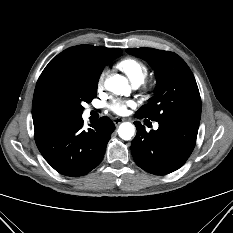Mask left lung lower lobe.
Returning a JSON list of instances; mask_svg holds the SVG:
<instances>
[{
	"instance_id": "1",
	"label": "left lung lower lobe",
	"mask_w": 233,
	"mask_h": 233,
	"mask_svg": "<svg viewBox=\"0 0 233 233\" xmlns=\"http://www.w3.org/2000/svg\"><path fill=\"white\" fill-rule=\"evenodd\" d=\"M199 122L189 119L163 120L158 122L156 131L149 133L140 122H135L137 134L131 142L135 163L155 175H165L179 169L195 147Z\"/></svg>"
}]
</instances>
